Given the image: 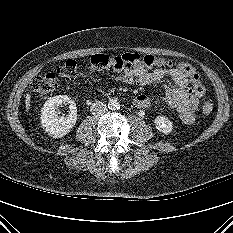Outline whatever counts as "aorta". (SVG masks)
<instances>
[{
  "mask_svg": "<svg viewBox=\"0 0 233 233\" xmlns=\"http://www.w3.org/2000/svg\"><path fill=\"white\" fill-rule=\"evenodd\" d=\"M108 108L110 110H118V109H120V102L118 101V99L117 98L111 99L108 102Z\"/></svg>",
  "mask_w": 233,
  "mask_h": 233,
  "instance_id": "1",
  "label": "aorta"
}]
</instances>
